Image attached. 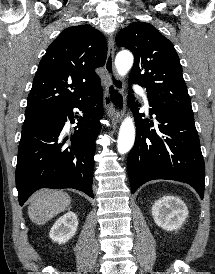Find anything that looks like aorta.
I'll use <instances>...</instances> for the list:
<instances>
[{
    "instance_id": "aorta-1",
    "label": "aorta",
    "mask_w": 215,
    "mask_h": 274,
    "mask_svg": "<svg viewBox=\"0 0 215 274\" xmlns=\"http://www.w3.org/2000/svg\"><path fill=\"white\" fill-rule=\"evenodd\" d=\"M118 73L124 76L133 65V56L129 51H121L115 59ZM135 140V127L132 118L126 117L119 130L117 148L120 154L127 153L133 146Z\"/></svg>"
}]
</instances>
